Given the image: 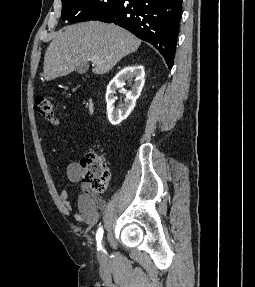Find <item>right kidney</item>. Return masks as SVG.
<instances>
[{"mask_svg": "<svg viewBox=\"0 0 255 287\" xmlns=\"http://www.w3.org/2000/svg\"><path fill=\"white\" fill-rule=\"evenodd\" d=\"M144 76L143 66H126L109 82L106 92L107 114L108 120L113 126H117V124L126 120L133 108H135V102L139 98L144 86ZM132 78H135L133 88L130 92H127L125 104L120 106V108H115V100H117L115 98L116 90L123 88L125 80H132Z\"/></svg>", "mask_w": 255, "mask_h": 287, "instance_id": "obj_1", "label": "right kidney"}]
</instances>
